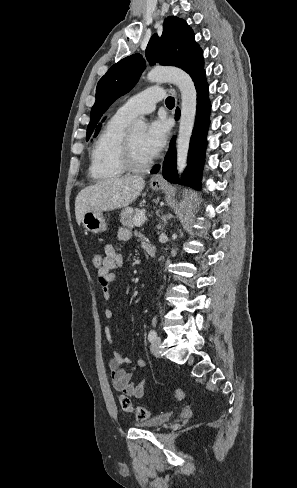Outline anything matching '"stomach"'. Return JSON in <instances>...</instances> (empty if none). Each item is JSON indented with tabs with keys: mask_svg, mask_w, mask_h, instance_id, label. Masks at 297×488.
<instances>
[{
	"mask_svg": "<svg viewBox=\"0 0 297 488\" xmlns=\"http://www.w3.org/2000/svg\"><path fill=\"white\" fill-rule=\"evenodd\" d=\"M153 190H159L160 184H150ZM84 228L92 233H100L106 230L105 219L101 212L87 211L84 213L81 220Z\"/></svg>",
	"mask_w": 297,
	"mask_h": 488,
	"instance_id": "obj_1",
	"label": "stomach"
}]
</instances>
